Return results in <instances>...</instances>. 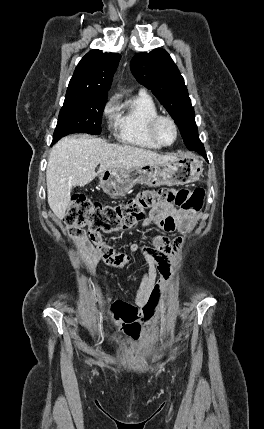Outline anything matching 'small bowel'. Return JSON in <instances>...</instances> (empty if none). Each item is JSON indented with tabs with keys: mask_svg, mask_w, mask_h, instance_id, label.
Listing matches in <instances>:
<instances>
[{
	"mask_svg": "<svg viewBox=\"0 0 264 429\" xmlns=\"http://www.w3.org/2000/svg\"><path fill=\"white\" fill-rule=\"evenodd\" d=\"M157 225L167 232L186 231L191 227L192 219L173 204H162L154 208L146 221V225ZM69 238L79 250L88 271L95 272L100 263L111 267L126 266L130 257L124 252L117 251L113 246L104 242L101 236L91 238L86 232L71 233ZM183 239L177 237L170 240L164 236L151 238L150 245L133 243L130 250L141 254L149 264L144 274L140 290L137 293L136 304L117 302L118 305H129L134 313V320L124 328L125 333L133 339H138L141 324L151 322L156 318V312L161 299L166 295L165 285L170 281L172 260L182 246ZM157 265V268H156ZM157 270L162 277V283H155Z\"/></svg>",
	"mask_w": 264,
	"mask_h": 429,
	"instance_id": "1",
	"label": "small bowel"
}]
</instances>
